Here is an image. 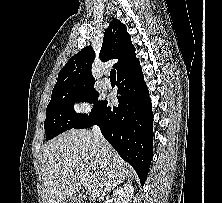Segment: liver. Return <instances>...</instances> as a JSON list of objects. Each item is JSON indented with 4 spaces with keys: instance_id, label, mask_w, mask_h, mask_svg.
Here are the masks:
<instances>
[{
    "instance_id": "1",
    "label": "liver",
    "mask_w": 222,
    "mask_h": 203,
    "mask_svg": "<svg viewBox=\"0 0 222 203\" xmlns=\"http://www.w3.org/2000/svg\"><path fill=\"white\" fill-rule=\"evenodd\" d=\"M45 203H60L77 196L82 180L88 182L86 195L93 202L101 200L130 176L128 164L108 144L104 156L93 132L71 129L50 142L43 150Z\"/></svg>"
}]
</instances>
